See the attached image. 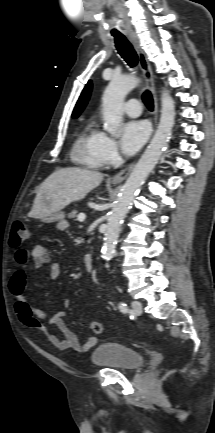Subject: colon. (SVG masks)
I'll return each mask as SVG.
<instances>
[{"instance_id": "colon-1", "label": "colon", "mask_w": 215, "mask_h": 433, "mask_svg": "<svg viewBox=\"0 0 215 433\" xmlns=\"http://www.w3.org/2000/svg\"><path fill=\"white\" fill-rule=\"evenodd\" d=\"M31 238L29 226L22 221H15L12 225L10 243L14 248H18ZM88 328L95 334L103 332V326L100 322L92 321L87 324Z\"/></svg>"}]
</instances>
